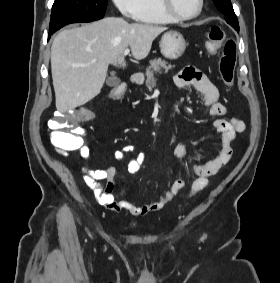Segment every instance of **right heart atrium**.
I'll return each mask as SVG.
<instances>
[{
  "instance_id": "1",
  "label": "right heart atrium",
  "mask_w": 280,
  "mask_h": 283,
  "mask_svg": "<svg viewBox=\"0 0 280 283\" xmlns=\"http://www.w3.org/2000/svg\"><path fill=\"white\" fill-rule=\"evenodd\" d=\"M120 14L127 19H135L139 9L140 0H113Z\"/></svg>"
}]
</instances>
